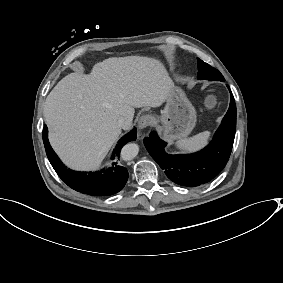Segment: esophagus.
I'll return each instance as SVG.
<instances>
[{
	"label": "esophagus",
	"instance_id": "34e87169",
	"mask_svg": "<svg viewBox=\"0 0 283 283\" xmlns=\"http://www.w3.org/2000/svg\"><path fill=\"white\" fill-rule=\"evenodd\" d=\"M154 122H155L154 116H152L150 114H146V115H143L140 118L139 123H138V127H139L140 130H143L146 127L153 125Z\"/></svg>",
	"mask_w": 283,
	"mask_h": 283
}]
</instances>
